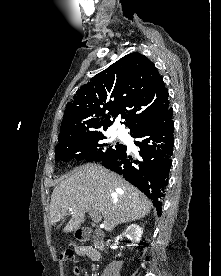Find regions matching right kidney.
Masks as SVG:
<instances>
[{"label": "right kidney", "instance_id": "obj_1", "mask_svg": "<svg viewBox=\"0 0 221 276\" xmlns=\"http://www.w3.org/2000/svg\"><path fill=\"white\" fill-rule=\"evenodd\" d=\"M142 233L143 229L139 225L132 224L127 227L126 231L123 233V236L127 237L132 242L131 246H137ZM110 241L111 240H108L107 243L109 244ZM118 256H120V254Z\"/></svg>", "mask_w": 221, "mask_h": 276}]
</instances>
